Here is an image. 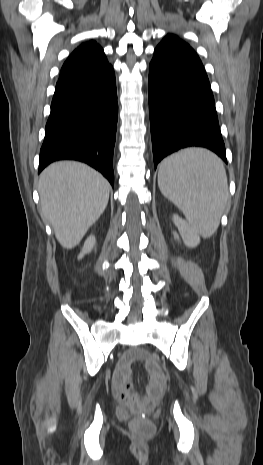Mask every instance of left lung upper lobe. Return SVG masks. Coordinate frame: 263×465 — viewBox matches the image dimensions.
<instances>
[{"instance_id":"5c2ea615","label":"left lung upper lobe","mask_w":263,"mask_h":465,"mask_svg":"<svg viewBox=\"0 0 263 465\" xmlns=\"http://www.w3.org/2000/svg\"><path fill=\"white\" fill-rule=\"evenodd\" d=\"M166 43H179V44H182V45H186V46H189L188 44H186L185 42L181 41L178 39L177 36L175 35H167L160 44H166Z\"/></svg>"}]
</instances>
